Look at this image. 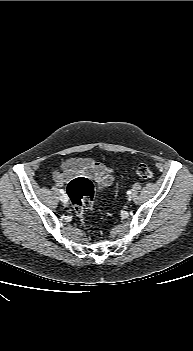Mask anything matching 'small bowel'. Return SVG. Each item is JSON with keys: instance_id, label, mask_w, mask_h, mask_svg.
<instances>
[{"instance_id": "small-bowel-1", "label": "small bowel", "mask_w": 193, "mask_h": 351, "mask_svg": "<svg viewBox=\"0 0 193 351\" xmlns=\"http://www.w3.org/2000/svg\"><path fill=\"white\" fill-rule=\"evenodd\" d=\"M77 176L95 181L100 189L109 186L114 179L110 168L89 158L69 159L63 163L61 170L53 174L58 185L67 183Z\"/></svg>"}]
</instances>
